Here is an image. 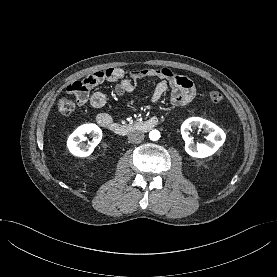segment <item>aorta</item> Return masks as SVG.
Here are the masks:
<instances>
[{
  "label": "aorta",
  "instance_id": "1",
  "mask_svg": "<svg viewBox=\"0 0 277 277\" xmlns=\"http://www.w3.org/2000/svg\"><path fill=\"white\" fill-rule=\"evenodd\" d=\"M150 140L157 141L160 138V132L158 130H152L149 133Z\"/></svg>",
  "mask_w": 277,
  "mask_h": 277
}]
</instances>
